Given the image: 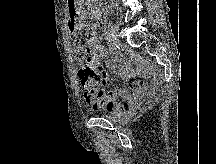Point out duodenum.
Segmentation results:
<instances>
[{
  "label": "duodenum",
  "instance_id": "duodenum-1",
  "mask_svg": "<svg viewBox=\"0 0 216 164\" xmlns=\"http://www.w3.org/2000/svg\"><path fill=\"white\" fill-rule=\"evenodd\" d=\"M69 9H76V0H68ZM90 11L94 18L97 17L98 5L94 2L90 4Z\"/></svg>",
  "mask_w": 216,
  "mask_h": 164
}]
</instances>
